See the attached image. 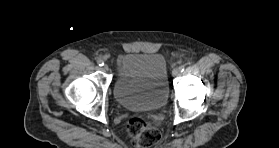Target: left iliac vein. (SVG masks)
I'll return each mask as SVG.
<instances>
[{
	"label": "left iliac vein",
	"instance_id": "obj_1",
	"mask_svg": "<svg viewBox=\"0 0 279 148\" xmlns=\"http://www.w3.org/2000/svg\"><path fill=\"white\" fill-rule=\"evenodd\" d=\"M179 74H180V69H179V68L173 69L172 75H173L174 77L178 76Z\"/></svg>",
	"mask_w": 279,
	"mask_h": 148
}]
</instances>
